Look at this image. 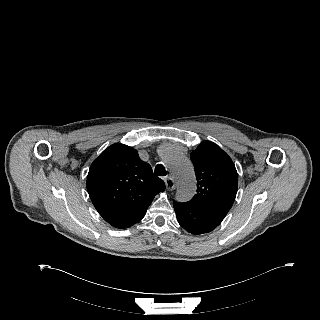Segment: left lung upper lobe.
Wrapping results in <instances>:
<instances>
[{"label":"left lung upper lobe","mask_w":320,"mask_h":320,"mask_svg":"<svg viewBox=\"0 0 320 320\" xmlns=\"http://www.w3.org/2000/svg\"><path fill=\"white\" fill-rule=\"evenodd\" d=\"M190 157L197 178V194L190 202L228 213L238 189L231 158L211 141L199 144Z\"/></svg>","instance_id":"1"}]
</instances>
